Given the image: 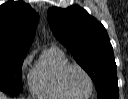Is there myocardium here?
<instances>
[{"label":"myocardium","instance_id":"obj_1","mask_svg":"<svg viewBox=\"0 0 128 99\" xmlns=\"http://www.w3.org/2000/svg\"><path fill=\"white\" fill-rule=\"evenodd\" d=\"M72 68H77L79 69L85 76L86 78L88 79V82H89V85H90V90L88 92L87 95L85 96H77V95H74L72 94L67 85H66V75L68 73V71ZM59 83H60V86L62 88V90L67 94L69 95L70 97H73V98H76V99H86V98H89L92 96L93 94V91H94V83H93V79L91 77V75L89 74V72L81 65L77 64V63H69L67 65H65L63 67V69L61 70L60 72V75H59Z\"/></svg>","mask_w":128,"mask_h":99}]
</instances>
